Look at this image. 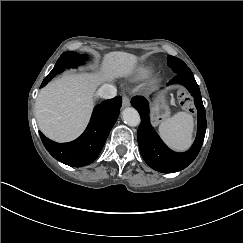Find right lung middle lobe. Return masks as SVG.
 Instances as JSON below:
<instances>
[{
    "label": "right lung middle lobe",
    "instance_id": "1",
    "mask_svg": "<svg viewBox=\"0 0 243 243\" xmlns=\"http://www.w3.org/2000/svg\"><path fill=\"white\" fill-rule=\"evenodd\" d=\"M86 59L87 55L85 54L64 52L58 59L52 71L43 80L41 87L45 86L55 75L62 72L64 69L77 67L78 65L83 64Z\"/></svg>",
    "mask_w": 243,
    "mask_h": 243
}]
</instances>
